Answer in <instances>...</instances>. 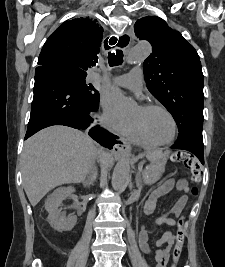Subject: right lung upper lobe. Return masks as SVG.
<instances>
[{
	"instance_id": "1",
	"label": "right lung upper lobe",
	"mask_w": 225,
	"mask_h": 267,
	"mask_svg": "<svg viewBox=\"0 0 225 267\" xmlns=\"http://www.w3.org/2000/svg\"><path fill=\"white\" fill-rule=\"evenodd\" d=\"M103 30L96 20L65 21L47 39L39 55V66H52L66 73L86 76L96 66Z\"/></svg>"
}]
</instances>
